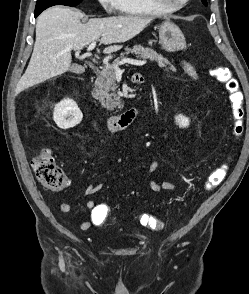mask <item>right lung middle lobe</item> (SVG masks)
I'll use <instances>...</instances> for the list:
<instances>
[{
  "mask_svg": "<svg viewBox=\"0 0 249 294\" xmlns=\"http://www.w3.org/2000/svg\"><path fill=\"white\" fill-rule=\"evenodd\" d=\"M81 1L82 0H37L35 11H43L44 9L53 5H66L74 7Z\"/></svg>",
  "mask_w": 249,
  "mask_h": 294,
  "instance_id": "1",
  "label": "right lung middle lobe"
}]
</instances>
